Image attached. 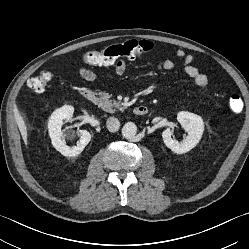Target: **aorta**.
<instances>
[{"label":"aorta","mask_w":249,"mask_h":249,"mask_svg":"<svg viewBox=\"0 0 249 249\" xmlns=\"http://www.w3.org/2000/svg\"><path fill=\"white\" fill-rule=\"evenodd\" d=\"M137 133V126L133 122H127L122 128V135L126 139H132Z\"/></svg>","instance_id":"aorta-1"}]
</instances>
